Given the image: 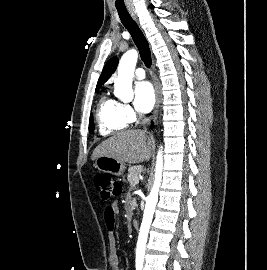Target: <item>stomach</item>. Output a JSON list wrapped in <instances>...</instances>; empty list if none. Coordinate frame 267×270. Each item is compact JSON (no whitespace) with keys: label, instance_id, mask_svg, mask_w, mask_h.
I'll return each mask as SVG.
<instances>
[{"label":"stomach","instance_id":"stomach-1","mask_svg":"<svg viewBox=\"0 0 267 270\" xmlns=\"http://www.w3.org/2000/svg\"><path fill=\"white\" fill-rule=\"evenodd\" d=\"M94 167L103 173H110L116 176L123 175L125 164L109 156H100L95 160Z\"/></svg>","mask_w":267,"mask_h":270}]
</instances>
